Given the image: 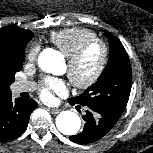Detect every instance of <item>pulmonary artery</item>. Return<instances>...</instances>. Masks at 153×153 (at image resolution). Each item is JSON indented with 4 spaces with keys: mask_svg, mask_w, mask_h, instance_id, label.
Returning <instances> with one entry per match:
<instances>
[{
    "mask_svg": "<svg viewBox=\"0 0 153 153\" xmlns=\"http://www.w3.org/2000/svg\"><path fill=\"white\" fill-rule=\"evenodd\" d=\"M32 88H33V85L30 82L20 81L14 84L13 91L15 93H22V92L31 91Z\"/></svg>",
    "mask_w": 153,
    "mask_h": 153,
    "instance_id": "obj_1",
    "label": "pulmonary artery"
}]
</instances>
